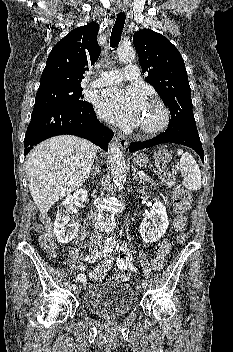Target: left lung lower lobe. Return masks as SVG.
<instances>
[{
    "label": "left lung lower lobe",
    "instance_id": "left-lung-lower-lobe-1",
    "mask_svg": "<svg viewBox=\"0 0 233 352\" xmlns=\"http://www.w3.org/2000/svg\"><path fill=\"white\" fill-rule=\"evenodd\" d=\"M162 143H175L188 146L194 149L204 162V152L196 127L184 129H166L162 134L146 141L130 143L129 152H135L141 149L150 148Z\"/></svg>",
    "mask_w": 233,
    "mask_h": 352
}]
</instances>
